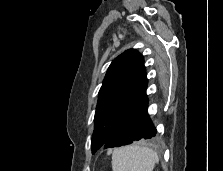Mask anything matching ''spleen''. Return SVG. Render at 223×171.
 <instances>
[{"label":"spleen","mask_w":223,"mask_h":171,"mask_svg":"<svg viewBox=\"0 0 223 171\" xmlns=\"http://www.w3.org/2000/svg\"><path fill=\"white\" fill-rule=\"evenodd\" d=\"M157 153L145 146L131 145L113 151V171H153L158 164Z\"/></svg>","instance_id":"spleen-1"}]
</instances>
